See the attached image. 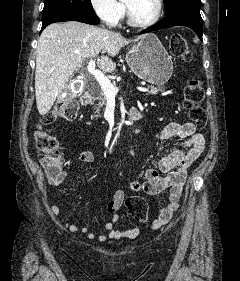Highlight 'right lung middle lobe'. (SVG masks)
<instances>
[{
    "label": "right lung middle lobe",
    "mask_w": 240,
    "mask_h": 281,
    "mask_svg": "<svg viewBox=\"0 0 240 281\" xmlns=\"http://www.w3.org/2000/svg\"><path fill=\"white\" fill-rule=\"evenodd\" d=\"M62 15L97 17L90 0H44L42 23Z\"/></svg>",
    "instance_id": "1"
}]
</instances>
